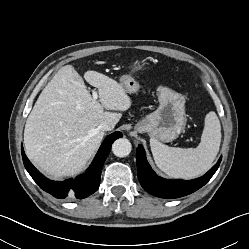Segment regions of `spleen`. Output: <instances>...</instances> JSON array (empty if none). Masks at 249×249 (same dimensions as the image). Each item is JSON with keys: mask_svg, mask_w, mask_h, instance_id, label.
Masks as SVG:
<instances>
[{"mask_svg": "<svg viewBox=\"0 0 249 249\" xmlns=\"http://www.w3.org/2000/svg\"><path fill=\"white\" fill-rule=\"evenodd\" d=\"M221 143V125L215 112L205 117L201 142L196 148L169 147L150 139L157 167L171 177L192 179L205 173L215 160Z\"/></svg>", "mask_w": 249, "mask_h": 249, "instance_id": "spleen-1", "label": "spleen"}]
</instances>
